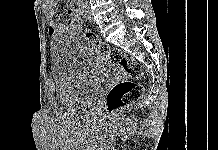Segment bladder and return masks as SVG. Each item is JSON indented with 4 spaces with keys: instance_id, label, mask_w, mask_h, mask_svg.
<instances>
[{
    "instance_id": "obj_1",
    "label": "bladder",
    "mask_w": 218,
    "mask_h": 150,
    "mask_svg": "<svg viewBox=\"0 0 218 150\" xmlns=\"http://www.w3.org/2000/svg\"><path fill=\"white\" fill-rule=\"evenodd\" d=\"M52 56L58 71L55 100L61 107H86L99 84L115 70L100 51L66 33L54 37Z\"/></svg>"
}]
</instances>
